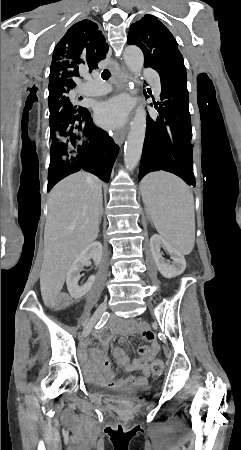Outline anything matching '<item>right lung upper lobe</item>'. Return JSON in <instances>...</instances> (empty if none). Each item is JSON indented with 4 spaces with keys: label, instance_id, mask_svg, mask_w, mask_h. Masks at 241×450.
<instances>
[{
    "label": "right lung upper lobe",
    "instance_id": "cb5924a9",
    "mask_svg": "<svg viewBox=\"0 0 241 450\" xmlns=\"http://www.w3.org/2000/svg\"><path fill=\"white\" fill-rule=\"evenodd\" d=\"M107 52L108 44L96 23L90 20L75 23L54 49L48 101L68 96L76 86V79L96 69Z\"/></svg>",
    "mask_w": 241,
    "mask_h": 450
}]
</instances>
